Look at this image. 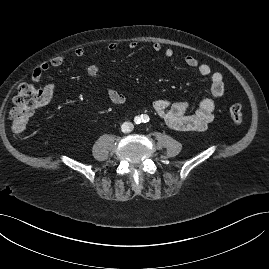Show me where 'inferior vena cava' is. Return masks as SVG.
<instances>
[{
    "label": "inferior vena cava",
    "instance_id": "602c4592",
    "mask_svg": "<svg viewBox=\"0 0 269 269\" xmlns=\"http://www.w3.org/2000/svg\"><path fill=\"white\" fill-rule=\"evenodd\" d=\"M133 124L131 122H124L121 126L122 132L129 133L133 130Z\"/></svg>",
    "mask_w": 269,
    "mask_h": 269
}]
</instances>
